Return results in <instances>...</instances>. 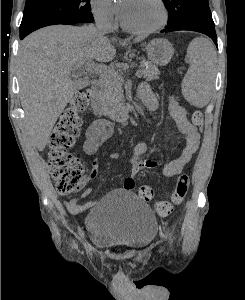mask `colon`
<instances>
[{"mask_svg":"<svg viewBox=\"0 0 245 300\" xmlns=\"http://www.w3.org/2000/svg\"><path fill=\"white\" fill-rule=\"evenodd\" d=\"M89 100V92H77L72 97L69 106L60 114L49 138V165L56 189L61 195H72L87 183L83 164L69 152V148L74 144L79 133L82 123L81 115L86 111ZM192 122L196 127L201 128L203 126V115L200 111L193 113ZM189 185V176L186 174L180 175L171 199L156 203L155 207L158 214L161 216L171 214L174 207L184 201ZM138 195L142 200L150 201L154 192L151 186L142 185L138 189Z\"/></svg>","mask_w":245,"mask_h":300,"instance_id":"1","label":"colon"}]
</instances>
